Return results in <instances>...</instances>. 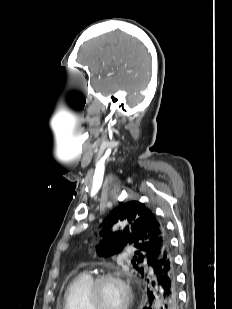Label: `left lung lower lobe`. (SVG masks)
<instances>
[{"instance_id": "obj_1", "label": "left lung lower lobe", "mask_w": 232, "mask_h": 309, "mask_svg": "<svg viewBox=\"0 0 232 309\" xmlns=\"http://www.w3.org/2000/svg\"><path fill=\"white\" fill-rule=\"evenodd\" d=\"M143 279L147 286V302L143 309H177L176 269L170 244L150 261Z\"/></svg>"}]
</instances>
